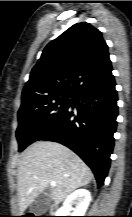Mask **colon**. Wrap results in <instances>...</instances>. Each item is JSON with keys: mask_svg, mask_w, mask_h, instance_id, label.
I'll return each mask as SVG.
<instances>
[{"mask_svg": "<svg viewBox=\"0 0 132 217\" xmlns=\"http://www.w3.org/2000/svg\"><path fill=\"white\" fill-rule=\"evenodd\" d=\"M24 217H34V216H29V215H28V216H24Z\"/></svg>", "mask_w": 132, "mask_h": 217, "instance_id": "obj_1", "label": "colon"}]
</instances>
